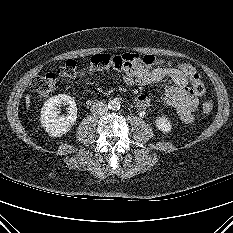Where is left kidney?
<instances>
[{
	"label": "left kidney",
	"instance_id": "1",
	"mask_svg": "<svg viewBox=\"0 0 233 233\" xmlns=\"http://www.w3.org/2000/svg\"><path fill=\"white\" fill-rule=\"evenodd\" d=\"M156 126L159 130H161L164 133H169L172 129V125L170 120L165 117H157L155 120Z\"/></svg>",
	"mask_w": 233,
	"mask_h": 233
}]
</instances>
